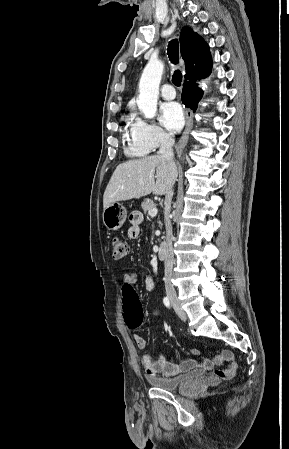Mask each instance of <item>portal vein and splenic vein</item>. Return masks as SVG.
Returning <instances> with one entry per match:
<instances>
[{
  "mask_svg": "<svg viewBox=\"0 0 289 449\" xmlns=\"http://www.w3.org/2000/svg\"><path fill=\"white\" fill-rule=\"evenodd\" d=\"M148 213L151 217H155L158 213V210L156 208H153V209L149 210Z\"/></svg>",
  "mask_w": 289,
  "mask_h": 449,
  "instance_id": "1",
  "label": "portal vein and splenic vein"
}]
</instances>
